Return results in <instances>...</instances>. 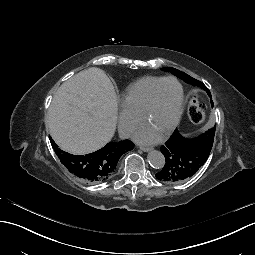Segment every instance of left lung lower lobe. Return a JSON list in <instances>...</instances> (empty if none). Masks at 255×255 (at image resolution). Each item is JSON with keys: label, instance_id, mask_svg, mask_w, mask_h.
I'll list each match as a JSON object with an SVG mask.
<instances>
[{"label": "left lung lower lobe", "instance_id": "0a47b994", "mask_svg": "<svg viewBox=\"0 0 255 255\" xmlns=\"http://www.w3.org/2000/svg\"><path fill=\"white\" fill-rule=\"evenodd\" d=\"M157 150L165 155V159L154 177L165 185L180 183L195 176L200 164H204L210 156L211 147L203 136L198 137L196 142L184 144L173 133Z\"/></svg>", "mask_w": 255, "mask_h": 255}]
</instances>
